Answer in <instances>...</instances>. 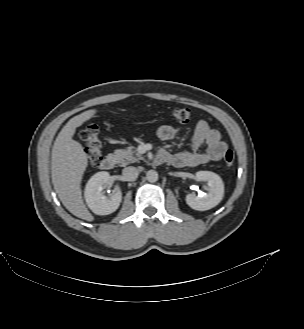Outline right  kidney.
<instances>
[{"mask_svg": "<svg viewBox=\"0 0 304 329\" xmlns=\"http://www.w3.org/2000/svg\"><path fill=\"white\" fill-rule=\"evenodd\" d=\"M110 181L108 172L102 171L94 174L86 184L84 197L88 207L97 215L113 213L120 205L122 193L116 186L110 197L105 198L103 189Z\"/></svg>", "mask_w": 304, "mask_h": 329, "instance_id": "obj_1", "label": "right kidney"}]
</instances>
